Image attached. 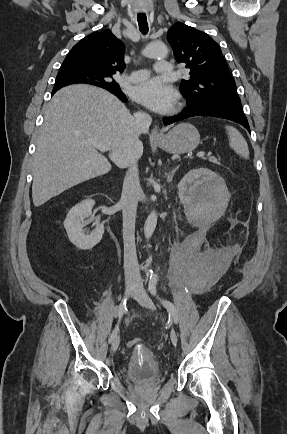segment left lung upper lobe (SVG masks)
Instances as JSON below:
<instances>
[{
	"mask_svg": "<svg viewBox=\"0 0 287 434\" xmlns=\"http://www.w3.org/2000/svg\"><path fill=\"white\" fill-rule=\"evenodd\" d=\"M167 40L176 60L190 70L180 87L189 105L241 102L222 52L209 35L176 23L169 29Z\"/></svg>",
	"mask_w": 287,
	"mask_h": 434,
	"instance_id": "1",
	"label": "left lung upper lobe"
}]
</instances>
